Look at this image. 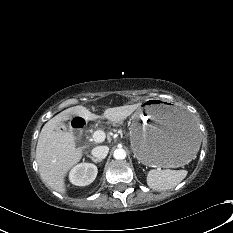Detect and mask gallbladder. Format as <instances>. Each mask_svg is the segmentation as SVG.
<instances>
[{"label":"gallbladder","mask_w":233,"mask_h":233,"mask_svg":"<svg viewBox=\"0 0 233 233\" xmlns=\"http://www.w3.org/2000/svg\"><path fill=\"white\" fill-rule=\"evenodd\" d=\"M57 128L58 129H63L64 128V124L62 122H60L58 125H57Z\"/></svg>","instance_id":"gallbladder-1"}]
</instances>
